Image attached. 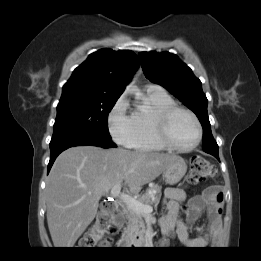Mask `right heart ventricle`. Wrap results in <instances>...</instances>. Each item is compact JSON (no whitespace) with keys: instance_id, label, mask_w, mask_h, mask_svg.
Listing matches in <instances>:
<instances>
[{"instance_id":"1","label":"right heart ventricle","mask_w":261,"mask_h":261,"mask_svg":"<svg viewBox=\"0 0 261 261\" xmlns=\"http://www.w3.org/2000/svg\"><path fill=\"white\" fill-rule=\"evenodd\" d=\"M146 109H137L132 113L135 136L130 147L141 151H162L166 147L158 140L154 128V116L165 108L175 104L165 91L146 90Z\"/></svg>"}]
</instances>
